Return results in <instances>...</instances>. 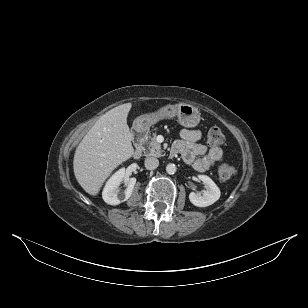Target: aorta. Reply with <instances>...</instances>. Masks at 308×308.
I'll return each mask as SVG.
<instances>
[{"mask_svg": "<svg viewBox=\"0 0 308 308\" xmlns=\"http://www.w3.org/2000/svg\"><path fill=\"white\" fill-rule=\"evenodd\" d=\"M166 172L168 174H174L176 172V165L173 163H170L166 166Z\"/></svg>", "mask_w": 308, "mask_h": 308, "instance_id": "aorta-1", "label": "aorta"}]
</instances>
